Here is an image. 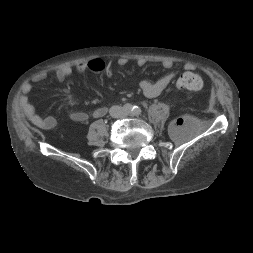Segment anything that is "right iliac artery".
Segmentation results:
<instances>
[{"label":"right iliac artery","instance_id":"1","mask_svg":"<svg viewBox=\"0 0 253 253\" xmlns=\"http://www.w3.org/2000/svg\"><path fill=\"white\" fill-rule=\"evenodd\" d=\"M126 109H127L128 111H132V110H133V108H132V106H131L130 104H127V105H126Z\"/></svg>","mask_w":253,"mask_h":253}]
</instances>
